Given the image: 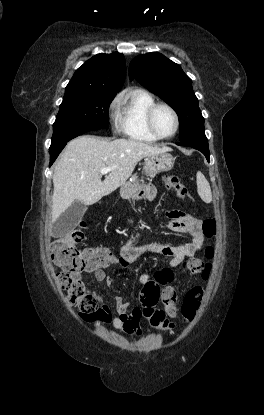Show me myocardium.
<instances>
[{"label": "myocardium", "instance_id": "myocardium-1", "mask_svg": "<svg viewBox=\"0 0 264 415\" xmlns=\"http://www.w3.org/2000/svg\"><path fill=\"white\" fill-rule=\"evenodd\" d=\"M161 107L167 108L173 114L174 119H175V128H174L173 132L171 134L165 135V136L160 135L158 133V131L155 128V124H154V115H155L157 109H159ZM146 125H147V128H148L149 132L155 138H157L158 140L171 139L172 137H174L177 134V132L179 130L180 118H179V115H178L177 111L171 105H169L167 103H163V102L155 103L148 109V111L146 113Z\"/></svg>", "mask_w": 264, "mask_h": 415}]
</instances>
